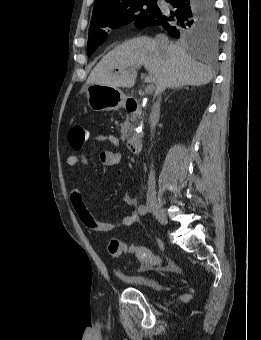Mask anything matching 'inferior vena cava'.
<instances>
[{
	"mask_svg": "<svg viewBox=\"0 0 261 340\" xmlns=\"http://www.w3.org/2000/svg\"><path fill=\"white\" fill-rule=\"evenodd\" d=\"M155 41L157 43V46L162 50L167 49L170 44L168 38L165 35H157L155 38ZM162 92L163 90L161 89L160 91L157 92L156 95L158 96V99L154 103L151 114H150V128H151L152 136H153L154 129L156 127V124L160 116V102H161ZM147 198L156 199V181H155V171L153 170V165L151 166V170L148 175Z\"/></svg>",
	"mask_w": 261,
	"mask_h": 340,
	"instance_id": "1",
	"label": "inferior vena cava"
}]
</instances>
